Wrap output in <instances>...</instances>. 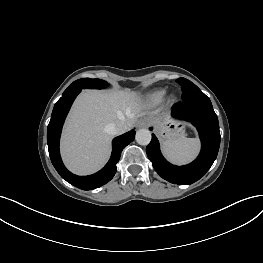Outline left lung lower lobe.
Masks as SVG:
<instances>
[{
    "mask_svg": "<svg viewBox=\"0 0 263 263\" xmlns=\"http://www.w3.org/2000/svg\"><path fill=\"white\" fill-rule=\"evenodd\" d=\"M172 116L190 121L197 128L202 143L197 159L185 166L170 164L162 156L159 142L154 134L146 148V153L155 171L163 179L173 184H192L205 175L217 157L220 146L218 118L211 101L205 94L176 103L172 109Z\"/></svg>",
    "mask_w": 263,
    "mask_h": 263,
    "instance_id": "obj_1",
    "label": "left lung lower lobe"
}]
</instances>
